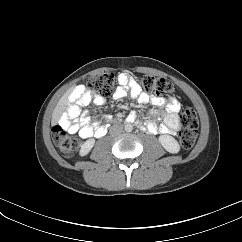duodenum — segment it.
Instances as JSON below:
<instances>
[{"mask_svg":"<svg viewBox=\"0 0 242 242\" xmlns=\"http://www.w3.org/2000/svg\"><path fill=\"white\" fill-rule=\"evenodd\" d=\"M106 133V129L101 132V135H104Z\"/></svg>","mask_w":242,"mask_h":242,"instance_id":"obj_1","label":"duodenum"}]
</instances>
